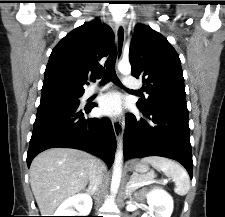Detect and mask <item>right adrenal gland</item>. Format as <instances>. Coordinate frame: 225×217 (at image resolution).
<instances>
[{
  "label": "right adrenal gland",
  "instance_id": "2a0ac1e0",
  "mask_svg": "<svg viewBox=\"0 0 225 217\" xmlns=\"http://www.w3.org/2000/svg\"><path fill=\"white\" fill-rule=\"evenodd\" d=\"M87 193H89V190L88 189H84Z\"/></svg>",
  "mask_w": 225,
  "mask_h": 217
}]
</instances>
